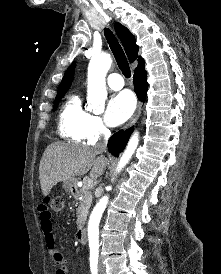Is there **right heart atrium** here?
I'll return each mask as SVG.
<instances>
[{"label":"right heart atrium","instance_id":"d8ad5b80","mask_svg":"<svg viewBox=\"0 0 221 274\" xmlns=\"http://www.w3.org/2000/svg\"><path fill=\"white\" fill-rule=\"evenodd\" d=\"M109 130L101 117L90 115L86 125V139L91 142H97L108 134Z\"/></svg>","mask_w":221,"mask_h":274}]
</instances>
